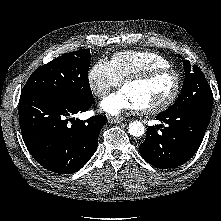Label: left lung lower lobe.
Segmentation results:
<instances>
[{"mask_svg":"<svg viewBox=\"0 0 221 221\" xmlns=\"http://www.w3.org/2000/svg\"><path fill=\"white\" fill-rule=\"evenodd\" d=\"M210 118L211 108L201 106L158 114L156 119L167 125L148 127L146 139L140 145L141 156L156 168L184 164L199 148Z\"/></svg>","mask_w":221,"mask_h":221,"instance_id":"left-lung-lower-lobe-1","label":"left lung lower lobe"}]
</instances>
